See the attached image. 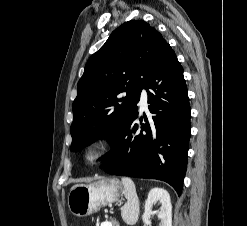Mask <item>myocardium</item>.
<instances>
[{"label":"myocardium","instance_id":"f54148a6","mask_svg":"<svg viewBox=\"0 0 247 226\" xmlns=\"http://www.w3.org/2000/svg\"><path fill=\"white\" fill-rule=\"evenodd\" d=\"M110 140L105 136L91 138L83 149V161L87 165L99 163L110 150Z\"/></svg>","mask_w":247,"mask_h":226}]
</instances>
